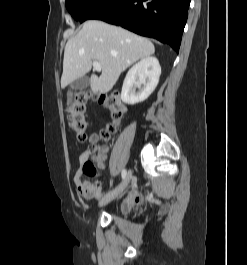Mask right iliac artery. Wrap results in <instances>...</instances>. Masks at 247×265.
Returning <instances> with one entry per match:
<instances>
[{
    "mask_svg": "<svg viewBox=\"0 0 247 265\" xmlns=\"http://www.w3.org/2000/svg\"><path fill=\"white\" fill-rule=\"evenodd\" d=\"M127 175V171L125 169L122 170V179H125Z\"/></svg>",
    "mask_w": 247,
    "mask_h": 265,
    "instance_id": "obj_1",
    "label": "right iliac artery"
}]
</instances>
